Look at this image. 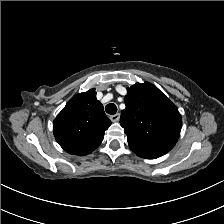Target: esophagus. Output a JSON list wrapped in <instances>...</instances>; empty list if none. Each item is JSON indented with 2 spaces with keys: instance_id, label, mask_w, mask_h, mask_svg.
I'll list each match as a JSON object with an SVG mask.
<instances>
[{
  "instance_id": "1",
  "label": "esophagus",
  "mask_w": 224,
  "mask_h": 224,
  "mask_svg": "<svg viewBox=\"0 0 224 224\" xmlns=\"http://www.w3.org/2000/svg\"><path fill=\"white\" fill-rule=\"evenodd\" d=\"M119 119H120V114H119V113H116V114L110 116V120H111L112 122H118Z\"/></svg>"
}]
</instances>
